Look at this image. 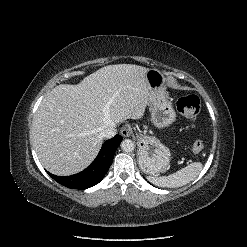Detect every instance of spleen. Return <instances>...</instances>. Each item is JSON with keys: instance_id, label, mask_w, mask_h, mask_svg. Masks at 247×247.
Listing matches in <instances>:
<instances>
[{"instance_id": "obj_1", "label": "spleen", "mask_w": 247, "mask_h": 247, "mask_svg": "<svg viewBox=\"0 0 247 247\" xmlns=\"http://www.w3.org/2000/svg\"><path fill=\"white\" fill-rule=\"evenodd\" d=\"M202 163L194 162L168 176L149 177L151 183L160 187L175 188L194 180L202 170Z\"/></svg>"}]
</instances>
